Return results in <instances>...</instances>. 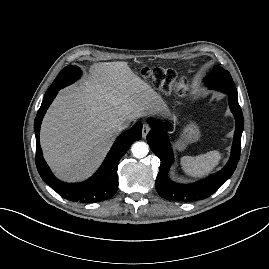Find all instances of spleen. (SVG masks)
Returning a JSON list of instances; mask_svg holds the SVG:
<instances>
[{
	"mask_svg": "<svg viewBox=\"0 0 269 269\" xmlns=\"http://www.w3.org/2000/svg\"><path fill=\"white\" fill-rule=\"evenodd\" d=\"M222 154L219 151H209L195 157L184 156L180 159L183 171L190 177H203L209 174L219 164Z\"/></svg>",
	"mask_w": 269,
	"mask_h": 269,
	"instance_id": "3e777b00",
	"label": "spleen"
}]
</instances>
